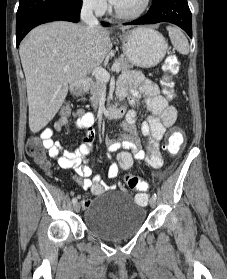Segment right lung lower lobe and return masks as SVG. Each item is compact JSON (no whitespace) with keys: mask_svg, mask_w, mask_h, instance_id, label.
Instances as JSON below:
<instances>
[{"mask_svg":"<svg viewBox=\"0 0 227 279\" xmlns=\"http://www.w3.org/2000/svg\"><path fill=\"white\" fill-rule=\"evenodd\" d=\"M82 0H19L16 15V42L34 27L55 20L78 22ZM103 26L108 23L101 22Z\"/></svg>","mask_w":227,"mask_h":279,"instance_id":"right-lung-lower-lobe-1","label":"right lung lower lobe"}]
</instances>
